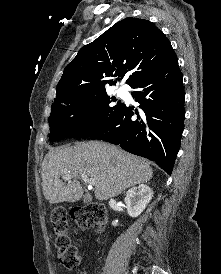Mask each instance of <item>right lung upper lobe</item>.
<instances>
[{"mask_svg":"<svg viewBox=\"0 0 221 274\" xmlns=\"http://www.w3.org/2000/svg\"><path fill=\"white\" fill-rule=\"evenodd\" d=\"M175 60L169 40L152 22L125 18L79 50L64 69L53 104L106 93L105 86L116 83L108 77L127 74L133 87Z\"/></svg>","mask_w":221,"mask_h":274,"instance_id":"cb5924a9","label":"right lung upper lobe"}]
</instances>
